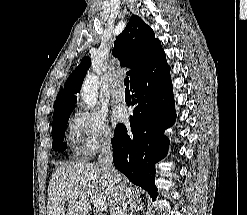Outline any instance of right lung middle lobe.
<instances>
[{"mask_svg": "<svg viewBox=\"0 0 247 215\" xmlns=\"http://www.w3.org/2000/svg\"><path fill=\"white\" fill-rule=\"evenodd\" d=\"M73 108L74 107L65 109L60 113L54 114V116H53L52 148L55 151H64L66 149V145L63 142L64 133L66 130L68 119L70 117V114H71V111Z\"/></svg>", "mask_w": 247, "mask_h": 215, "instance_id": "1", "label": "right lung middle lobe"}]
</instances>
